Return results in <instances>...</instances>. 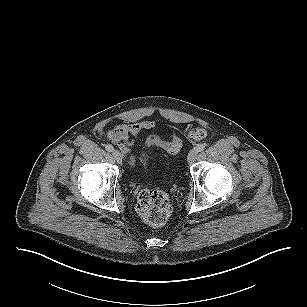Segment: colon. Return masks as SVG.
<instances>
[{"instance_id":"colon-1","label":"colon","mask_w":307,"mask_h":307,"mask_svg":"<svg viewBox=\"0 0 307 307\" xmlns=\"http://www.w3.org/2000/svg\"><path fill=\"white\" fill-rule=\"evenodd\" d=\"M206 130L199 128L190 132L194 139L201 140L206 137ZM146 148L158 146L168 153L176 154L181 150L182 139L173 134L169 140H164L158 135H150L145 143ZM137 209L139 214L152 225H162L167 222L171 213L172 206L168 196L158 189H143L138 194Z\"/></svg>"}]
</instances>
